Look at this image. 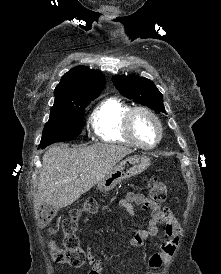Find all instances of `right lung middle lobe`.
I'll return each instance as SVG.
<instances>
[{
	"mask_svg": "<svg viewBox=\"0 0 221 274\" xmlns=\"http://www.w3.org/2000/svg\"><path fill=\"white\" fill-rule=\"evenodd\" d=\"M98 96L99 94H94L54 103L39 148L43 149L54 142L68 141L78 136L82 130L85 108Z\"/></svg>",
	"mask_w": 221,
	"mask_h": 274,
	"instance_id": "dd1d6c3e",
	"label": "right lung middle lobe"
}]
</instances>
